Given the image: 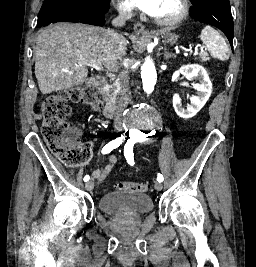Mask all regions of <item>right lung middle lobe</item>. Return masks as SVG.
<instances>
[{"label": "right lung middle lobe", "mask_w": 256, "mask_h": 267, "mask_svg": "<svg viewBox=\"0 0 256 267\" xmlns=\"http://www.w3.org/2000/svg\"><path fill=\"white\" fill-rule=\"evenodd\" d=\"M110 6V0H45L38 15V20L52 12L81 14L88 8H104Z\"/></svg>", "instance_id": "right-lung-middle-lobe-1"}]
</instances>
